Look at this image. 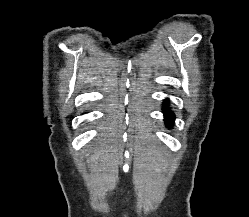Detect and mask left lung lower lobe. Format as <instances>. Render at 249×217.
Listing matches in <instances>:
<instances>
[{
  "mask_svg": "<svg viewBox=\"0 0 249 217\" xmlns=\"http://www.w3.org/2000/svg\"><path fill=\"white\" fill-rule=\"evenodd\" d=\"M166 102H168V100H165V104H164L165 122H166L167 127H172L173 121H174V114L168 109Z\"/></svg>",
  "mask_w": 249,
  "mask_h": 217,
  "instance_id": "1",
  "label": "left lung lower lobe"
}]
</instances>
